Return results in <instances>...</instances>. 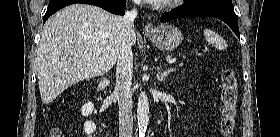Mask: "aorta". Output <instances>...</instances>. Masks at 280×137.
Returning <instances> with one entry per match:
<instances>
[{"instance_id": "obj_1", "label": "aorta", "mask_w": 280, "mask_h": 137, "mask_svg": "<svg viewBox=\"0 0 280 137\" xmlns=\"http://www.w3.org/2000/svg\"><path fill=\"white\" fill-rule=\"evenodd\" d=\"M137 120L139 137H145L149 123V101L145 92H141L138 97Z\"/></svg>"}]
</instances>
